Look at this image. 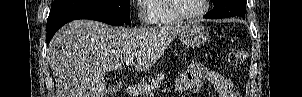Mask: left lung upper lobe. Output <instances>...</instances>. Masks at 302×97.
Returning <instances> with one entry per match:
<instances>
[{
    "label": "left lung upper lobe",
    "instance_id": "5c2ea615",
    "mask_svg": "<svg viewBox=\"0 0 302 97\" xmlns=\"http://www.w3.org/2000/svg\"><path fill=\"white\" fill-rule=\"evenodd\" d=\"M214 10L210 12L216 18L241 16L245 18L246 0H211Z\"/></svg>",
    "mask_w": 302,
    "mask_h": 97
}]
</instances>
